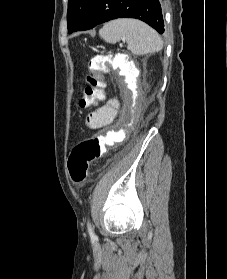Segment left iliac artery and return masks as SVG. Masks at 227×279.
<instances>
[{
	"label": "left iliac artery",
	"mask_w": 227,
	"mask_h": 279,
	"mask_svg": "<svg viewBox=\"0 0 227 279\" xmlns=\"http://www.w3.org/2000/svg\"><path fill=\"white\" fill-rule=\"evenodd\" d=\"M88 232L92 238L96 237L92 228L90 221L87 222Z\"/></svg>",
	"instance_id": "1"
}]
</instances>
